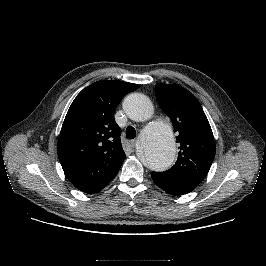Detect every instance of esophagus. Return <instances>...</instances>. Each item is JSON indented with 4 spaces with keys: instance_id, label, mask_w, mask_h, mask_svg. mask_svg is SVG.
Listing matches in <instances>:
<instances>
[{
    "instance_id": "34e87169",
    "label": "esophagus",
    "mask_w": 266,
    "mask_h": 266,
    "mask_svg": "<svg viewBox=\"0 0 266 266\" xmlns=\"http://www.w3.org/2000/svg\"><path fill=\"white\" fill-rule=\"evenodd\" d=\"M130 144H131V146L134 148V147H135V144H136V140H131V141H130Z\"/></svg>"
}]
</instances>
